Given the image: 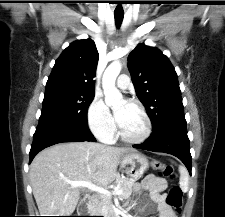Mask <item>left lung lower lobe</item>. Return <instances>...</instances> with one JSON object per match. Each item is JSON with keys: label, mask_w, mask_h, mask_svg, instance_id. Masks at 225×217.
I'll use <instances>...</instances> for the list:
<instances>
[{"label": "left lung lower lobe", "mask_w": 225, "mask_h": 217, "mask_svg": "<svg viewBox=\"0 0 225 217\" xmlns=\"http://www.w3.org/2000/svg\"><path fill=\"white\" fill-rule=\"evenodd\" d=\"M154 152H164L178 157L191 174V154L186 130V120H176L153 130L142 144L133 146Z\"/></svg>", "instance_id": "1"}]
</instances>
